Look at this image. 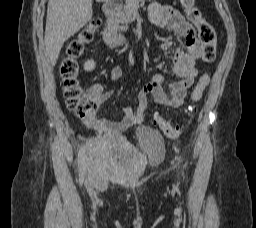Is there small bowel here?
Wrapping results in <instances>:
<instances>
[{
    "label": "small bowel",
    "instance_id": "c3829d8e",
    "mask_svg": "<svg viewBox=\"0 0 256 228\" xmlns=\"http://www.w3.org/2000/svg\"><path fill=\"white\" fill-rule=\"evenodd\" d=\"M149 18L154 26L167 28L184 39L185 47L177 48L173 57V72L180 80L170 84V95H167L162 86L163 77L155 74L138 91L136 110L129 106L125 107L122 120L113 122L95 117L86 119V125L99 133H120L141 124L147 110L149 96H152L155 102L160 105L171 108L181 107L188 89L198 76L195 64L196 60L201 57L202 45L195 35L193 26L186 21L185 17L177 9L168 5L153 4L150 7ZM171 46V41H165L161 48L168 50ZM121 76L122 69L119 66H113L110 69L111 80H117ZM91 92L103 102L109 100L113 94L112 90H105L100 84L93 85Z\"/></svg>",
    "mask_w": 256,
    "mask_h": 228
}]
</instances>
